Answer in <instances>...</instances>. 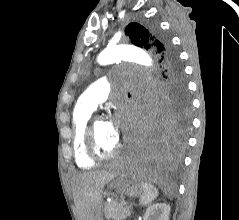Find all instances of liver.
<instances>
[{"label": "liver", "instance_id": "1", "mask_svg": "<svg viewBox=\"0 0 239 220\" xmlns=\"http://www.w3.org/2000/svg\"><path fill=\"white\" fill-rule=\"evenodd\" d=\"M116 176V171H93L73 178L72 190L79 220L100 219L103 189Z\"/></svg>", "mask_w": 239, "mask_h": 220}]
</instances>
